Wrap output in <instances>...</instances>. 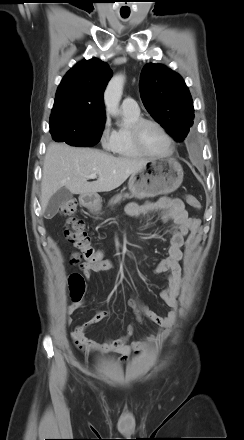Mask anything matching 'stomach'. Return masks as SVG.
<instances>
[{
	"mask_svg": "<svg viewBox=\"0 0 244 440\" xmlns=\"http://www.w3.org/2000/svg\"><path fill=\"white\" fill-rule=\"evenodd\" d=\"M183 176V168L174 158L151 159L130 176L128 188L134 196L141 198L166 195L180 187ZM82 203L93 212L101 208L97 196L83 197Z\"/></svg>",
	"mask_w": 244,
	"mask_h": 440,
	"instance_id": "obj_1",
	"label": "stomach"
}]
</instances>
